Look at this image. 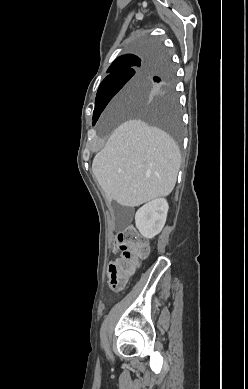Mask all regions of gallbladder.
<instances>
[{
  "mask_svg": "<svg viewBox=\"0 0 248 389\" xmlns=\"http://www.w3.org/2000/svg\"><path fill=\"white\" fill-rule=\"evenodd\" d=\"M114 210L120 209L122 211V214L120 215L121 220H130V212L131 210L129 208H120L119 205L116 203H113Z\"/></svg>",
  "mask_w": 248,
  "mask_h": 389,
  "instance_id": "bac80fb5",
  "label": "gallbladder"
}]
</instances>
